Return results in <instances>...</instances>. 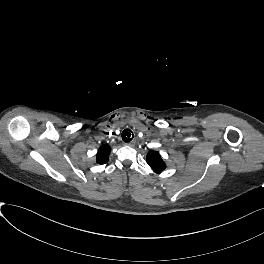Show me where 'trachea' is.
Returning <instances> with one entry per match:
<instances>
[{"instance_id":"1","label":"trachea","mask_w":264,"mask_h":264,"mask_svg":"<svg viewBox=\"0 0 264 264\" xmlns=\"http://www.w3.org/2000/svg\"><path fill=\"white\" fill-rule=\"evenodd\" d=\"M122 139L124 142H130L133 139V132L130 129H125L122 132Z\"/></svg>"}]
</instances>
